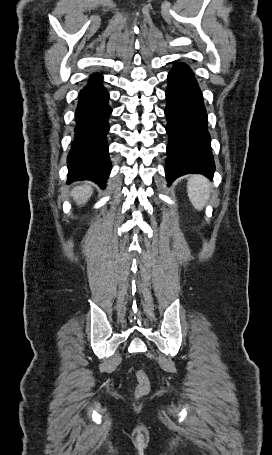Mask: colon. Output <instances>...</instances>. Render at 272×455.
<instances>
[{
  "instance_id": "1",
  "label": "colon",
  "mask_w": 272,
  "mask_h": 455,
  "mask_svg": "<svg viewBox=\"0 0 272 455\" xmlns=\"http://www.w3.org/2000/svg\"><path fill=\"white\" fill-rule=\"evenodd\" d=\"M136 378L138 381V385L136 388V395L138 397L146 395L149 392V387H150L149 379H148L147 375L145 374L144 371L138 370L136 372Z\"/></svg>"
}]
</instances>
